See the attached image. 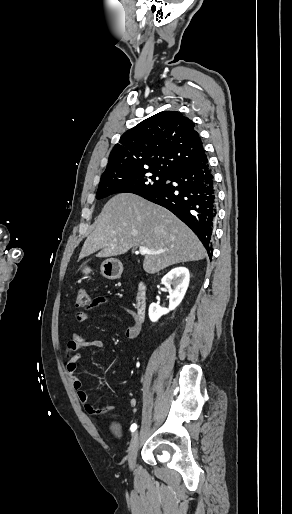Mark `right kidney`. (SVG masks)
<instances>
[{
    "instance_id": "obj_1",
    "label": "right kidney",
    "mask_w": 292,
    "mask_h": 514,
    "mask_svg": "<svg viewBox=\"0 0 292 514\" xmlns=\"http://www.w3.org/2000/svg\"><path fill=\"white\" fill-rule=\"evenodd\" d=\"M189 270L187 268H173L171 272H168L161 282L169 290V308H161L159 304H150L149 306V318L151 322H157L163 314H168L170 310H175L182 302L186 290L189 286ZM171 286H174L172 290Z\"/></svg>"
}]
</instances>
